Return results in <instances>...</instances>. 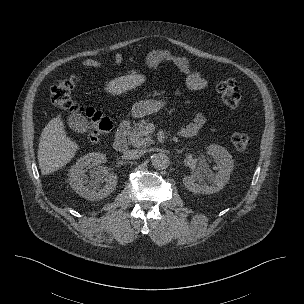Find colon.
<instances>
[{
  "label": "colon",
  "mask_w": 304,
  "mask_h": 304,
  "mask_svg": "<svg viewBox=\"0 0 304 304\" xmlns=\"http://www.w3.org/2000/svg\"><path fill=\"white\" fill-rule=\"evenodd\" d=\"M77 81L75 76L58 79L51 89V102L60 110L83 113L88 120L87 137L91 140H98L111 130L112 122L100 111L90 107H81L72 100V90ZM215 88L228 109L235 110L240 106L242 94L233 78L226 77L217 80ZM231 142L239 152H246L251 145V139L245 133H233Z\"/></svg>",
  "instance_id": "5ec220e1"
}]
</instances>
